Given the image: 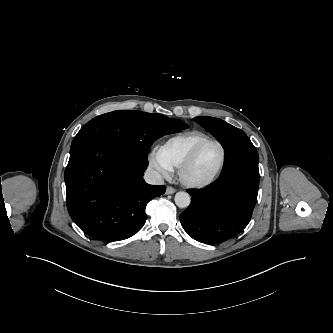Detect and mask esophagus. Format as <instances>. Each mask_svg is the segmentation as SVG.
Returning a JSON list of instances; mask_svg holds the SVG:
<instances>
[{
    "instance_id": "1",
    "label": "esophagus",
    "mask_w": 333,
    "mask_h": 333,
    "mask_svg": "<svg viewBox=\"0 0 333 333\" xmlns=\"http://www.w3.org/2000/svg\"><path fill=\"white\" fill-rule=\"evenodd\" d=\"M175 189L173 188V187H171V186H168L167 188H166V194L167 195H170V194H173V193H175Z\"/></svg>"
}]
</instances>
